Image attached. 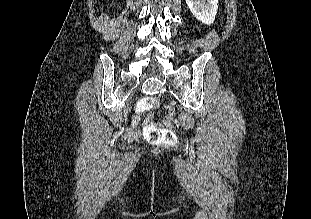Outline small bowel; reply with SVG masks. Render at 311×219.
Segmentation results:
<instances>
[{
	"label": "small bowel",
	"instance_id": "obj_1",
	"mask_svg": "<svg viewBox=\"0 0 311 219\" xmlns=\"http://www.w3.org/2000/svg\"><path fill=\"white\" fill-rule=\"evenodd\" d=\"M168 114H170V112ZM139 123H140V117L134 116L132 119V122H131V126L128 130L129 137L133 138L134 136H136L138 134L137 127H138ZM165 124L169 125L170 122L168 120H165Z\"/></svg>",
	"mask_w": 311,
	"mask_h": 219
}]
</instances>
